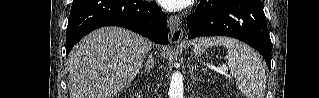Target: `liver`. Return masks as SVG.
I'll return each mask as SVG.
<instances>
[{"instance_id": "1", "label": "liver", "mask_w": 319, "mask_h": 98, "mask_svg": "<svg viewBox=\"0 0 319 98\" xmlns=\"http://www.w3.org/2000/svg\"><path fill=\"white\" fill-rule=\"evenodd\" d=\"M152 43L119 27L85 36L68 56L70 98H112L137 75Z\"/></svg>"}]
</instances>
